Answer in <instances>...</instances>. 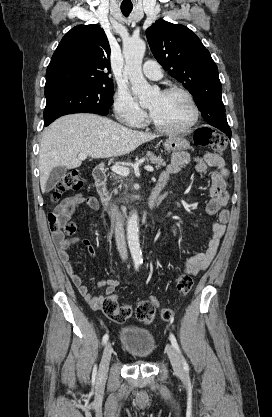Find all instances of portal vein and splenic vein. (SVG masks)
<instances>
[{"instance_id":"obj_1","label":"portal vein and splenic vein","mask_w":272,"mask_h":417,"mask_svg":"<svg viewBox=\"0 0 272 417\" xmlns=\"http://www.w3.org/2000/svg\"><path fill=\"white\" fill-rule=\"evenodd\" d=\"M87 157V155L85 153H80L78 155V159L80 160H85ZM147 171L152 172L154 169L151 166H145L144 167ZM111 170L121 176H127L130 173V170L127 167H123V166H119V165H114L111 167Z\"/></svg>"}]
</instances>
